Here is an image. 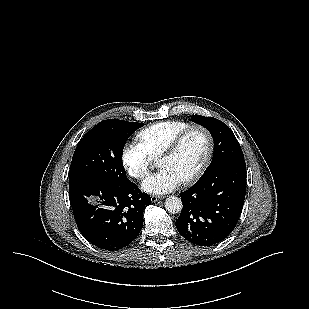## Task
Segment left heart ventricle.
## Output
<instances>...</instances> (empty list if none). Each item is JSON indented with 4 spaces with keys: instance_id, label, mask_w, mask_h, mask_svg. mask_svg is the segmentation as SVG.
Segmentation results:
<instances>
[{
    "instance_id": "b2bd125f",
    "label": "left heart ventricle",
    "mask_w": 309,
    "mask_h": 309,
    "mask_svg": "<svg viewBox=\"0 0 309 309\" xmlns=\"http://www.w3.org/2000/svg\"><path fill=\"white\" fill-rule=\"evenodd\" d=\"M207 139L200 130L191 132L178 151L159 160L161 168L171 169L182 181L201 166L207 153Z\"/></svg>"
}]
</instances>
